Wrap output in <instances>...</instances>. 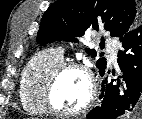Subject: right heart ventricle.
<instances>
[{
    "instance_id": "e07e8e85",
    "label": "right heart ventricle",
    "mask_w": 142,
    "mask_h": 119,
    "mask_svg": "<svg viewBox=\"0 0 142 119\" xmlns=\"http://www.w3.org/2000/svg\"><path fill=\"white\" fill-rule=\"evenodd\" d=\"M62 62L59 51L48 49L35 54L25 66L20 81V101L27 112L48 113L43 100L44 86L51 72Z\"/></svg>"
}]
</instances>
